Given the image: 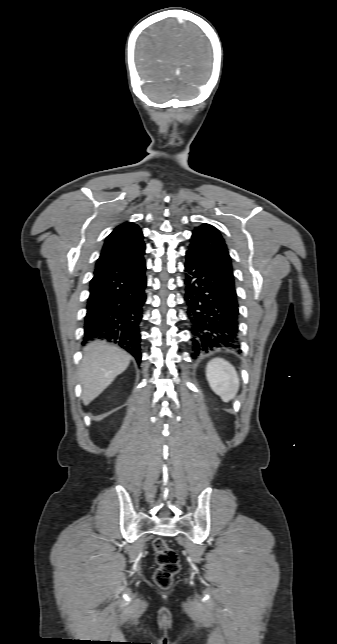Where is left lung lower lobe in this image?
Instances as JSON below:
<instances>
[{
    "label": "left lung lower lobe",
    "mask_w": 337,
    "mask_h": 644,
    "mask_svg": "<svg viewBox=\"0 0 337 644\" xmlns=\"http://www.w3.org/2000/svg\"><path fill=\"white\" fill-rule=\"evenodd\" d=\"M184 271L192 357L218 348L239 347L235 286L212 264L189 252H186Z\"/></svg>",
    "instance_id": "obj_1"
}]
</instances>
